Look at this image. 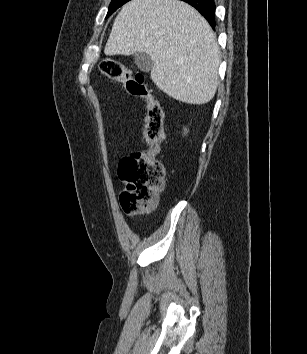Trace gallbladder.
<instances>
[{
	"mask_svg": "<svg viewBox=\"0 0 307 354\" xmlns=\"http://www.w3.org/2000/svg\"><path fill=\"white\" fill-rule=\"evenodd\" d=\"M134 61L137 67L143 72H149L153 67V61L150 56L143 52L136 53L134 55Z\"/></svg>",
	"mask_w": 307,
	"mask_h": 354,
	"instance_id": "1",
	"label": "gallbladder"
}]
</instances>
